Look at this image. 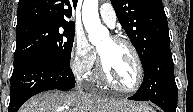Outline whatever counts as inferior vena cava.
I'll return each mask as SVG.
<instances>
[{"instance_id":"1","label":"inferior vena cava","mask_w":193,"mask_h":112,"mask_svg":"<svg viewBox=\"0 0 193 112\" xmlns=\"http://www.w3.org/2000/svg\"><path fill=\"white\" fill-rule=\"evenodd\" d=\"M78 90L81 91V80L80 79H78Z\"/></svg>"}]
</instances>
